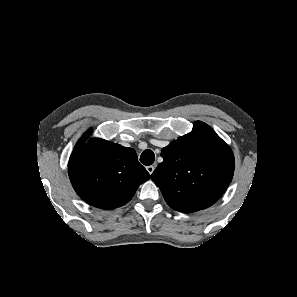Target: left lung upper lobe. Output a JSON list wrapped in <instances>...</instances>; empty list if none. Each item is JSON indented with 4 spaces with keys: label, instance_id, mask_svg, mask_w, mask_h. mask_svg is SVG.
<instances>
[{
    "label": "left lung upper lobe",
    "instance_id": "obj_1",
    "mask_svg": "<svg viewBox=\"0 0 297 297\" xmlns=\"http://www.w3.org/2000/svg\"><path fill=\"white\" fill-rule=\"evenodd\" d=\"M163 162L151 179L174 210L191 213L213 205L229 186L235 168L231 148L207 124L161 151Z\"/></svg>",
    "mask_w": 297,
    "mask_h": 297
}]
</instances>
